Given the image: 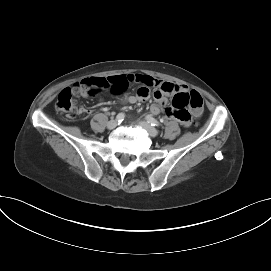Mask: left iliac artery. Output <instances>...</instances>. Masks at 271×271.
Wrapping results in <instances>:
<instances>
[{
  "instance_id": "44dca946",
  "label": "left iliac artery",
  "mask_w": 271,
  "mask_h": 271,
  "mask_svg": "<svg viewBox=\"0 0 271 271\" xmlns=\"http://www.w3.org/2000/svg\"><path fill=\"white\" fill-rule=\"evenodd\" d=\"M146 120L148 121V123L151 124V126H160L161 125L155 118H153L150 115L146 116Z\"/></svg>"
}]
</instances>
